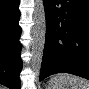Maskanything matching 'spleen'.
Returning a JSON list of instances; mask_svg holds the SVG:
<instances>
[{"mask_svg":"<svg viewBox=\"0 0 89 89\" xmlns=\"http://www.w3.org/2000/svg\"><path fill=\"white\" fill-rule=\"evenodd\" d=\"M50 89H89V81L75 75L60 73L49 80Z\"/></svg>","mask_w":89,"mask_h":89,"instance_id":"3e777b00","label":"spleen"}]
</instances>
